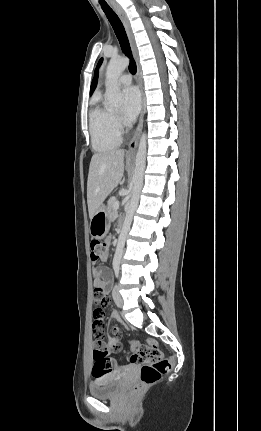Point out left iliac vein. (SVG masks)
<instances>
[{
    "mask_svg": "<svg viewBox=\"0 0 261 431\" xmlns=\"http://www.w3.org/2000/svg\"><path fill=\"white\" fill-rule=\"evenodd\" d=\"M112 295L116 306L121 308L123 306V298L119 292V286L117 284L113 288Z\"/></svg>",
    "mask_w": 261,
    "mask_h": 431,
    "instance_id": "obj_1",
    "label": "left iliac vein"
}]
</instances>
